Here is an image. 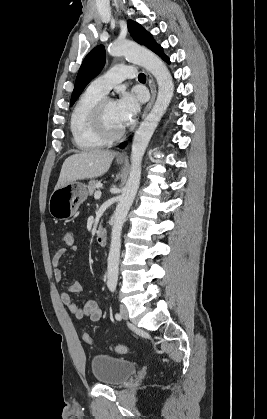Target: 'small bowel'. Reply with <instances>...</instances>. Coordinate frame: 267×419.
I'll list each match as a JSON object with an SVG mask.
<instances>
[{"label":"small bowel","instance_id":"c3829d8e","mask_svg":"<svg viewBox=\"0 0 267 419\" xmlns=\"http://www.w3.org/2000/svg\"><path fill=\"white\" fill-rule=\"evenodd\" d=\"M77 246L60 248L52 258L53 274L57 282L62 280L63 271L60 267L61 259L71 253L76 252ZM82 286L78 282L72 283L68 290L61 295L63 305L72 313L78 320H90L93 322L99 321L102 317V310L98 303L94 300H88L81 304H77L72 300L71 295L80 292Z\"/></svg>","mask_w":267,"mask_h":419}]
</instances>
